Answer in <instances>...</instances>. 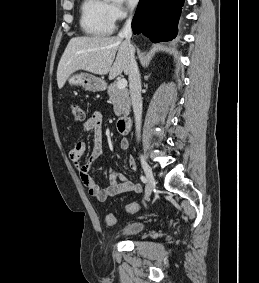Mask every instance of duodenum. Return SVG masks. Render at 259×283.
Here are the masks:
<instances>
[{"mask_svg": "<svg viewBox=\"0 0 259 283\" xmlns=\"http://www.w3.org/2000/svg\"><path fill=\"white\" fill-rule=\"evenodd\" d=\"M131 118L129 116H123L117 121V128L120 134H128L131 128Z\"/></svg>", "mask_w": 259, "mask_h": 283, "instance_id": "obj_1", "label": "duodenum"}]
</instances>
